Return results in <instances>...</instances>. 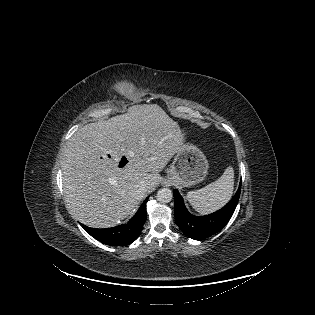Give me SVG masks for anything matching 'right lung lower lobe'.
<instances>
[{"label": "right lung lower lobe", "mask_w": 315, "mask_h": 315, "mask_svg": "<svg viewBox=\"0 0 315 315\" xmlns=\"http://www.w3.org/2000/svg\"><path fill=\"white\" fill-rule=\"evenodd\" d=\"M140 206L137 213L130 219L128 224L119 225L106 229H94L83 224L81 226L95 239L103 244L112 246H124L134 242L140 235L146 221V202Z\"/></svg>", "instance_id": "obj_1"}]
</instances>
